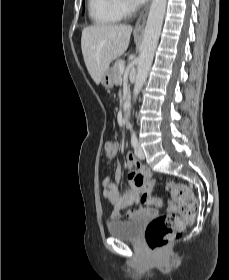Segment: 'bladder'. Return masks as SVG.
Instances as JSON below:
<instances>
[{
  "instance_id": "1",
  "label": "bladder",
  "mask_w": 229,
  "mask_h": 280,
  "mask_svg": "<svg viewBox=\"0 0 229 280\" xmlns=\"http://www.w3.org/2000/svg\"><path fill=\"white\" fill-rule=\"evenodd\" d=\"M144 225V219L123 220L108 225L109 234L122 240H136L139 238Z\"/></svg>"
}]
</instances>
